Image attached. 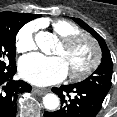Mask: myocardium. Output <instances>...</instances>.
Returning <instances> with one entry per match:
<instances>
[{"instance_id": "obj_1", "label": "myocardium", "mask_w": 117, "mask_h": 117, "mask_svg": "<svg viewBox=\"0 0 117 117\" xmlns=\"http://www.w3.org/2000/svg\"><path fill=\"white\" fill-rule=\"evenodd\" d=\"M86 41L92 49V59L90 63L80 71H69V76L73 80H83L91 75L101 62V49L98 42L88 34H76L62 39L61 45L65 51L73 49L79 43Z\"/></svg>"}]
</instances>
